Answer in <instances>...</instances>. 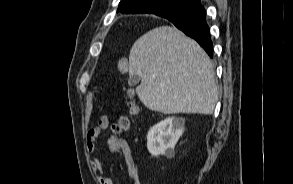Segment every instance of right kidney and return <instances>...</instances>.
<instances>
[{"label": "right kidney", "instance_id": "right-kidney-1", "mask_svg": "<svg viewBox=\"0 0 293 184\" xmlns=\"http://www.w3.org/2000/svg\"><path fill=\"white\" fill-rule=\"evenodd\" d=\"M184 132V119L169 117L150 128L147 148L152 156L173 157L174 148Z\"/></svg>", "mask_w": 293, "mask_h": 184}]
</instances>
